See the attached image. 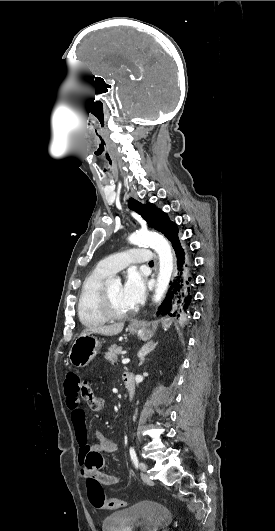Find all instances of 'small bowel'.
I'll return each mask as SVG.
<instances>
[{
  "mask_svg": "<svg viewBox=\"0 0 275 531\" xmlns=\"http://www.w3.org/2000/svg\"><path fill=\"white\" fill-rule=\"evenodd\" d=\"M66 374L68 376V381H65L64 386L66 403L70 410V422L74 435L80 443L77 454L80 475L87 477L88 473H93L94 477L105 486L124 482L122 478L102 471L104 465L103 454L114 453L117 450L116 443L105 437L100 431L93 433V441L90 444L86 443L88 435L87 418L78 398V394L81 391V386L78 383L79 375L73 367L68 368ZM82 439H85V443H81Z\"/></svg>",
  "mask_w": 275,
  "mask_h": 531,
  "instance_id": "small-bowel-1",
  "label": "small bowel"
}]
</instances>
